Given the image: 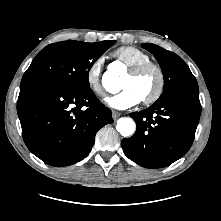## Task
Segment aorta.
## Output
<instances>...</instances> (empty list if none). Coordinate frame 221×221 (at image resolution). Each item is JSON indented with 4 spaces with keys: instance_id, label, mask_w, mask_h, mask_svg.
Instances as JSON below:
<instances>
[{
    "instance_id": "aorta-1",
    "label": "aorta",
    "mask_w": 221,
    "mask_h": 221,
    "mask_svg": "<svg viewBox=\"0 0 221 221\" xmlns=\"http://www.w3.org/2000/svg\"><path fill=\"white\" fill-rule=\"evenodd\" d=\"M119 75L120 71L117 70L115 67H110L109 70L104 74L102 79L103 86L109 92H117L120 90ZM116 129L122 136L127 137L134 133L136 129V124L133 119L123 117L117 121Z\"/></svg>"
}]
</instances>
